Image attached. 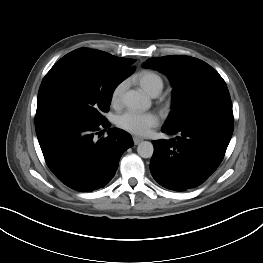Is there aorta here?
<instances>
[{"label":"aorta","instance_id":"aorta-1","mask_svg":"<svg viewBox=\"0 0 263 263\" xmlns=\"http://www.w3.org/2000/svg\"><path fill=\"white\" fill-rule=\"evenodd\" d=\"M123 103L131 110H147L150 107V100L141 92L129 90L123 96ZM154 152L153 144L149 141L141 142L137 147V153L142 158H151Z\"/></svg>","mask_w":263,"mask_h":263}]
</instances>
